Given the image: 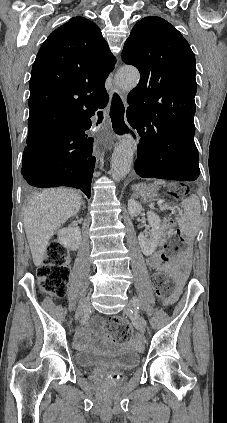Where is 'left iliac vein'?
I'll use <instances>...</instances> for the list:
<instances>
[{"label":"left iliac vein","mask_w":227,"mask_h":423,"mask_svg":"<svg viewBox=\"0 0 227 423\" xmlns=\"http://www.w3.org/2000/svg\"><path fill=\"white\" fill-rule=\"evenodd\" d=\"M136 306H137V303H133V305L127 304L123 312L124 314L132 318L133 321L137 325H139V328L144 331L146 329L147 322L144 319V317L137 311V309L135 308Z\"/></svg>","instance_id":"obj_1"}]
</instances>
